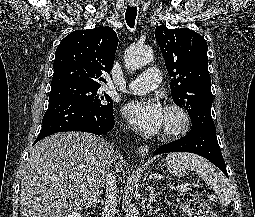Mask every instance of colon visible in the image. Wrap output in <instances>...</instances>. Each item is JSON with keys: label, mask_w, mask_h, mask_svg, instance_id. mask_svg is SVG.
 <instances>
[{"label": "colon", "mask_w": 255, "mask_h": 217, "mask_svg": "<svg viewBox=\"0 0 255 217\" xmlns=\"http://www.w3.org/2000/svg\"><path fill=\"white\" fill-rule=\"evenodd\" d=\"M179 203L191 217H218L205 200L191 193L181 194Z\"/></svg>", "instance_id": "colon-1"}]
</instances>
